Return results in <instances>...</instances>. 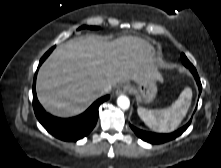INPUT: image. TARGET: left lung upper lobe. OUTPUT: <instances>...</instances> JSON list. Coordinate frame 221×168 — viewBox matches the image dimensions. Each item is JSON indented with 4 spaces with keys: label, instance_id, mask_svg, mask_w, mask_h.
<instances>
[{
    "label": "left lung upper lobe",
    "instance_id": "left-lung-upper-lobe-1",
    "mask_svg": "<svg viewBox=\"0 0 221 168\" xmlns=\"http://www.w3.org/2000/svg\"><path fill=\"white\" fill-rule=\"evenodd\" d=\"M181 59H182L183 64H184L187 68H189L190 71L193 70V69H195L194 66L190 63V61L187 59V57H186L184 54L181 55Z\"/></svg>",
    "mask_w": 221,
    "mask_h": 168
}]
</instances>
